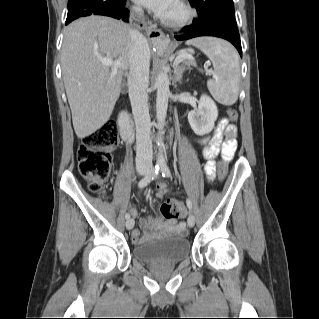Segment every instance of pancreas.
Here are the masks:
<instances>
[{
	"mask_svg": "<svg viewBox=\"0 0 319 319\" xmlns=\"http://www.w3.org/2000/svg\"><path fill=\"white\" fill-rule=\"evenodd\" d=\"M195 65L196 64L192 60H183V62H182V68H184V69H185V67L190 69V66H195Z\"/></svg>",
	"mask_w": 319,
	"mask_h": 319,
	"instance_id": "1",
	"label": "pancreas"
}]
</instances>
